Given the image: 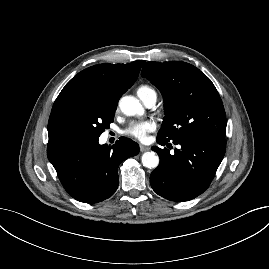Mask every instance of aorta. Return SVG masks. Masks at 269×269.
<instances>
[{"label": "aorta", "mask_w": 269, "mask_h": 269, "mask_svg": "<svg viewBox=\"0 0 269 269\" xmlns=\"http://www.w3.org/2000/svg\"><path fill=\"white\" fill-rule=\"evenodd\" d=\"M121 111L127 116L142 115L144 108L138 99L132 96H125L119 103ZM142 164L147 168H156L159 165V157L154 152H145L142 155Z\"/></svg>", "instance_id": "762f6f07"}]
</instances>
